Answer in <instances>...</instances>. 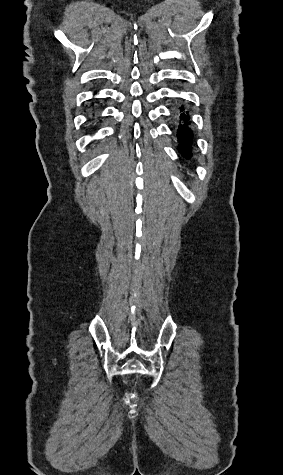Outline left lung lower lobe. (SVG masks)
<instances>
[{
    "instance_id": "obj_1",
    "label": "left lung lower lobe",
    "mask_w": 283,
    "mask_h": 475,
    "mask_svg": "<svg viewBox=\"0 0 283 475\" xmlns=\"http://www.w3.org/2000/svg\"><path fill=\"white\" fill-rule=\"evenodd\" d=\"M182 110H184L182 108ZM182 120H184V125L179 126L177 131V137L179 141L178 150L185 157L190 159L193 155V150L195 147L194 143V132L191 128V121L189 112L181 115Z\"/></svg>"
}]
</instances>
